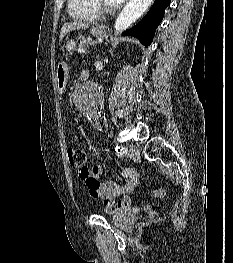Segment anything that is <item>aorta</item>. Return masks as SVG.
Returning <instances> with one entry per match:
<instances>
[{
  "label": "aorta",
  "instance_id": "1",
  "mask_svg": "<svg viewBox=\"0 0 233 263\" xmlns=\"http://www.w3.org/2000/svg\"><path fill=\"white\" fill-rule=\"evenodd\" d=\"M153 0H130L115 21V32L130 27L150 7ZM78 110L91 121H103V93L100 84L89 81L81 85L76 98Z\"/></svg>",
  "mask_w": 233,
  "mask_h": 263
}]
</instances>
